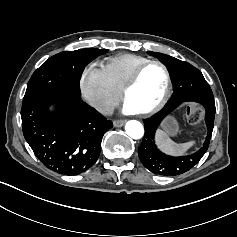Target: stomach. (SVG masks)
<instances>
[{
    "label": "stomach",
    "mask_w": 237,
    "mask_h": 237,
    "mask_svg": "<svg viewBox=\"0 0 237 237\" xmlns=\"http://www.w3.org/2000/svg\"><path fill=\"white\" fill-rule=\"evenodd\" d=\"M162 128L170 136H176L179 132L178 123L172 116H169L164 120Z\"/></svg>",
    "instance_id": "stomach-1"
}]
</instances>
